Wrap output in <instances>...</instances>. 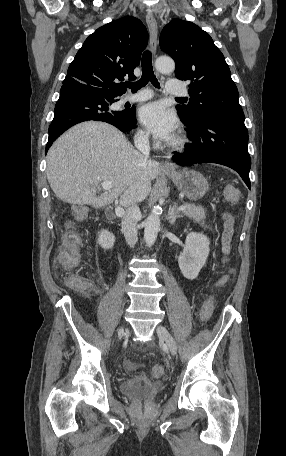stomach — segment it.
<instances>
[{"mask_svg": "<svg viewBox=\"0 0 286 456\" xmlns=\"http://www.w3.org/2000/svg\"><path fill=\"white\" fill-rule=\"evenodd\" d=\"M177 188L191 201L202 198L209 189L205 177L194 170H183L176 174L167 173Z\"/></svg>", "mask_w": 286, "mask_h": 456, "instance_id": "0dacf381", "label": "stomach"}]
</instances>
